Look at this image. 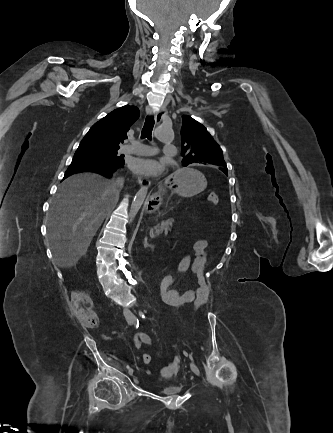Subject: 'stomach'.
<instances>
[{
  "label": "stomach",
  "mask_w": 333,
  "mask_h": 433,
  "mask_svg": "<svg viewBox=\"0 0 333 433\" xmlns=\"http://www.w3.org/2000/svg\"><path fill=\"white\" fill-rule=\"evenodd\" d=\"M204 175L203 169H176L175 174H169L167 183L172 184V193L176 192L182 196L191 197L206 188ZM167 193L158 191L150 200L148 208L156 212L155 205L159 203V198Z\"/></svg>",
  "instance_id": "stomach-1"
}]
</instances>
